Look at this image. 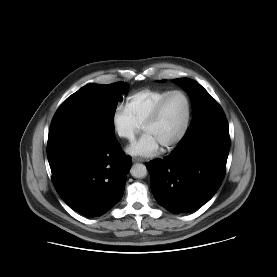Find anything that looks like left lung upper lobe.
I'll list each match as a JSON object with an SVG mask.
<instances>
[{
	"label": "left lung upper lobe",
	"mask_w": 277,
	"mask_h": 277,
	"mask_svg": "<svg viewBox=\"0 0 277 277\" xmlns=\"http://www.w3.org/2000/svg\"><path fill=\"white\" fill-rule=\"evenodd\" d=\"M173 82L188 91L193 105L192 124L183 141L206 125L226 120L222 108L198 82L189 78L173 79Z\"/></svg>",
	"instance_id": "left-lung-upper-lobe-1"
}]
</instances>
